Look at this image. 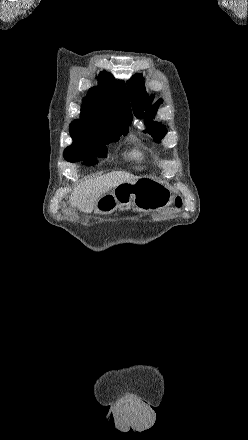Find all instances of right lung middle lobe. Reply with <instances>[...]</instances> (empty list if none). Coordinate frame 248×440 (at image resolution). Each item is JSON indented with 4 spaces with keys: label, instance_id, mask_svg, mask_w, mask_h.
Here are the masks:
<instances>
[{
    "label": "right lung middle lobe",
    "instance_id": "1",
    "mask_svg": "<svg viewBox=\"0 0 248 440\" xmlns=\"http://www.w3.org/2000/svg\"><path fill=\"white\" fill-rule=\"evenodd\" d=\"M128 130L120 131L109 135H90L79 144L78 146L66 149L64 151V158L69 162H76L85 160L86 165H92L97 163L94 157H106L107 148L106 144L113 141H118L121 135H126Z\"/></svg>",
    "mask_w": 248,
    "mask_h": 440
}]
</instances>
